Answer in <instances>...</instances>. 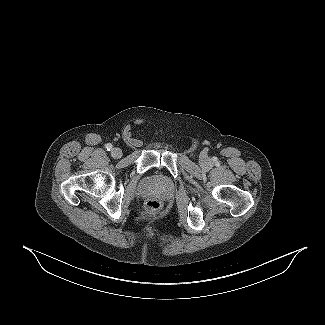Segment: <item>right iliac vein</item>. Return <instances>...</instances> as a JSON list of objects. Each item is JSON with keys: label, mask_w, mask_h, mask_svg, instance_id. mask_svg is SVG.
<instances>
[{"label": "right iliac vein", "mask_w": 325, "mask_h": 325, "mask_svg": "<svg viewBox=\"0 0 325 325\" xmlns=\"http://www.w3.org/2000/svg\"><path fill=\"white\" fill-rule=\"evenodd\" d=\"M111 155L113 158L118 159L122 156V150L118 147L112 149Z\"/></svg>", "instance_id": "63e3f726"}]
</instances>
